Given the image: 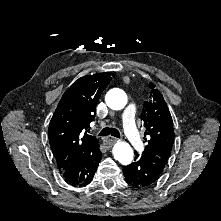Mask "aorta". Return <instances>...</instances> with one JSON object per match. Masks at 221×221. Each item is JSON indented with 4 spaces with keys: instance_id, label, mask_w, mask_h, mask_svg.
Listing matches in <instances>:
<instances>
[{
    "instance_id": "762f6f07",
    "label": "aorta",
    "mask_w": 221,
    "mask_h": 221,
    "mask_svg": "<svg viewBox=\"0 0 221 221\" xmlns=\"http://www.w3.org/2000/svg\"><path fill=\"white\" fill-rule=\"evenodd\" d=\"M105 101L109 108L113 110H121L127 104V95L123 90L114 88L107 92ZM112 152L114 158L123 165H128L133 160V150L126 142H117L114 145Z\"/></svg>"
}]
</instances>
